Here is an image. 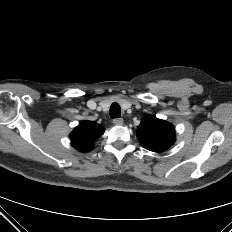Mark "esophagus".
<instances>
[{"label": "esophagus", "mask_w": 232, "mask_h": 232, "mask_svg": "<svg viewBox=\"0 0 232 232\" xmlns=\"http://www.w3.org/2000/svg\"><path fill=\"white\" fill-rule=\"evenodd\" d=\"M123 119L122 118H115V119H113V123L115 124V125H122L123 124Z\"/></svg>", "instance_id": "obj_1"}]
</instances>
